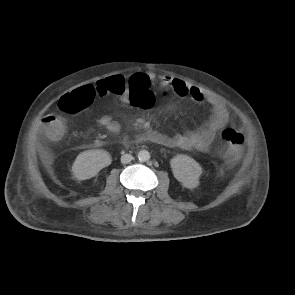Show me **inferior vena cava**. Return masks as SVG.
<instances>
[{"label": "inferior vena cava", "mask_w": 295, "mask_h": 295, "mask_svg": "<svg viewBox=\"0 0 295 295\" xmlns=\"http://www.w3.org/2000/svg\"><path fill=\"white\" fill-rule=\"evenodd\" d=\"M131 160H133V156L131 154H124L121 156V162L123 164L129 163Z\"/></svg>", "instance_id": "602c4592"}]
</instances>
